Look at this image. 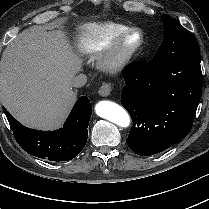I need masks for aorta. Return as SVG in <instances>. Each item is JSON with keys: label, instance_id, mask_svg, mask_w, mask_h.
I'll return each instance as SVG.
<instances>
[{"label": "aorta", "instance_id": "aorta-1", "mask_svg": "<svg viewBox=\"0 0 209 209\" xmlns=\"http://www.w3.org/2000/svg\"><path fill=\"white\" fill-rule=\"evenodd\" d=\"M96 114L107 119L120 127L130 125L128 113L118 104L111 101H100L95 106Z\"/></svg>", "mask_w": 209, "mask_h": 209}]
</instances>
